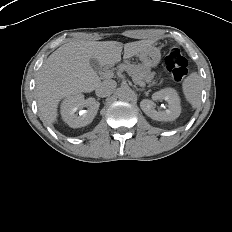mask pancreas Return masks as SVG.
<instances>
[{"label":"pancreas","mask_w":232,"mask_h":232,"mask_svg":"<svg viewBox=\"0 0 232 232\" xmlns=\"http://www.w3.org/2000/svg\"><path fill=\"white\" fill-rule=\"evenodd\" d=\"M117 69L120 72L126 71L134 81L150 83L154 78L155 73L151 72L149 66L146 65H134L130 62L121 63Z\"/></svg>","instance_id":"cf45deb5"}]
</instances>
